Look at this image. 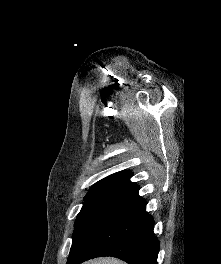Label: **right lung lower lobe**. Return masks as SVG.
<instances>
[{"mask_svg":"<svg viewBox=\"0 0 221 264\" xmlns=\"http://www.w3.org/2000/svg\"><path fill=\"white\" fill-rule=\"evenodd\" d=\"M138 191L137 185L125 190L83 249L67 264L100 256L117 257L129 264H157L159 241L153 233L154 220Z\"/></svg>","mask_w":221,"mask_h":264,"instance_id":"98d812e1","label":"right lung lower lobe"}]
</instances>
